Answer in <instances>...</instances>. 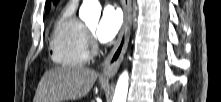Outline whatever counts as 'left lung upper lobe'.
<instances>
[{"mask_svg":"<svg viewBox=\"0 0 221 102\" xmlns=\"http://www.w3.org/2000/svg\"><path fill=\"white\" fill-rule=\"evenodd\" d=\"M59 0H54V4H56Z\"/></svg>","mask_w":221,"mask_h":102,"instance_id":"left-lung-upper-lobe-1","label":"left lung upper lobe"}]
</instances>
